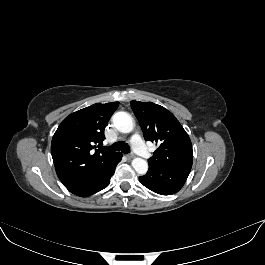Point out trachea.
<instances>
[{
	"instance_id": "trachea-1",
	"label": "trachea",
	"mask_w": 265,
	"mask_h": 265,
	"mask_svg": "<svg viewBox=\"0 0 265 265\" xmlns=\"http://www.w3.org/2000/svg\"><path fill=\"white\" fill-rule=\"evenodd\" d=\"M107 149L110 151L122 150L123 153H130L129 145L127 143L122 142V141L114 143L113 145L109 146Z\"/></svg>"
}]
</instances>
